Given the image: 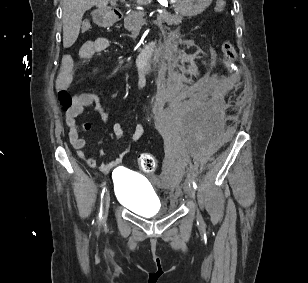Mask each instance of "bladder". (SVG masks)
I'll use <instances>...</instances> for the list:
<instances>
[{
  "label": "bladder",
  "instance_id": "obj_1",
  "mask_svg": "<svg viewBox=\"0 0 308 283\" xmlns=\"http://www.w3.org/2000/svg\"><path fill=\"white\" fill-rule=\"evenodd\" d=\"M113 191L117 201L144 217H156L166 212L149 180L127 168L113 172Z\"/></svg>",
  "mask_w": 308,
  "mask_h": 283
}]
</instances>
